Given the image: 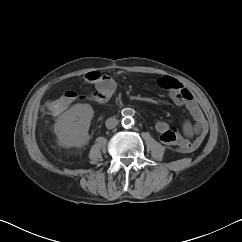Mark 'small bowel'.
<instances>
[{
	"label": "small bowel",
	"mask_w": 242,
	"mask_h": 242,
	"mask_svg": "<svg viewBox=\"0 0 242 242\" xmlns=\"http://www.w3.org/2000/svg\"><path fill=\"white\" fill-rule=\"evenodd\" d=\"M92 75L96 76L97 79L94 81L90 80ZM86 80L89 83L95 84L96 93L104 90L111 95L116 88V83L111 77L100 76L96 72L88 73ZM157 85L168 91L171 100L176 105L184 106L194 120V123L189 121L184 122L182 127L184 136L175 128L170 127L167 122L158 120L155 123V128L160 135V141L165 145L175 146L182 153H189L196 150L204 141L208 129L207 121L196 99L181 82L173 77H162L157 81ZM67 95L66 101L69 105L75 100V94L68 92Z\"/></svg>",
	"instance_id": "small-bowel-1"
}]
</instances>
